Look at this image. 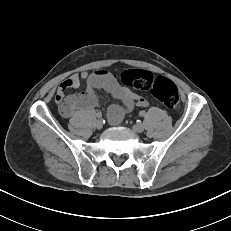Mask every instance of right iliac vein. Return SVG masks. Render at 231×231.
<instances>
[{
	"label": "right iliac vein",
	"instance_id": "1",
	"mask_svg": "<svg viewBox=\"0 0 231 231\" xmlns=\"http://www.w3.org/2000/svg\"><path fill=\"white\" fill-rule=\"evenodd\" d=\"M95 126L97 129H101L103 127L102 121L101 120H96Z\"/></svg>",
	"mask_w": 231,
	"mask_h": 231
}]
</instances>
